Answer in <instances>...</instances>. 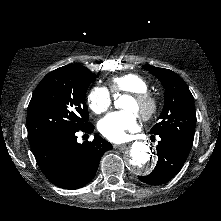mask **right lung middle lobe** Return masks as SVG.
Masks as SVG:
<instances>
[{"mask_svg":"<svg viewBox=\"0 0 221 221\" xmlns=\"http://www.w3.org/2000/svg\"><path fill=\"white\" fill-rule=\"evenodd\" d=\"M95 79V74L81 65L60 67L42 79L28 107L30 145L49 135L78 131L87 125L85 96Z\"/></svg>","mask_w":221,"mask_h":221,"instance_id":"dd1d6c3e","label":"right lung middle lobe"}]
</instances>
